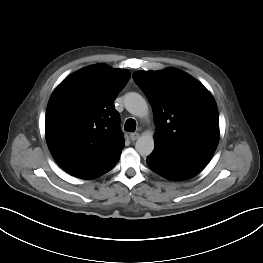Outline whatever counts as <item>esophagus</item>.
<instances>
[{
  "label": "esophagus",
  "mask_w": 263,
  "mask_h": 263,
  "mask_svg": "<svg viewBox=\"0 0 263 263\" xmlns=\"http://www.w3.org/2000/svg\"><path fill=\"white\" fill-rule=\"evenodd\" d=\"M139 137H140L139 133H131V134H130V139H131L132 141L137 140Z\"/></svg>",
  "instance_id": "obj_1"
}]
</instances>
